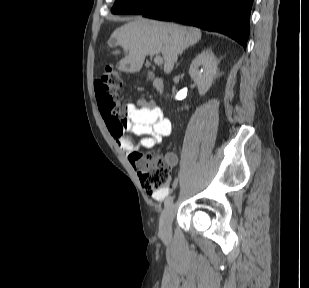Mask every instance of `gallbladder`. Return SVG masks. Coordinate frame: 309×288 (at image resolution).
Returning a JSON list of instances; mask_svg holds the SVG:
<instances>
[{"instance_id":"gallbladder-1","label":"gallbladder","mask_w":309,"mask_h":288,"mask_svg":"<svg viewBox=\"0 0 309 288\" xmlns=\"http://www.w3.org/2000/svg\"><path fill=\"white\" fill-rule=\"evenodd\" d=\"M153 77H154V74L152 72H149L148 73V79H153Z\"/></svg>"}]
</instances>
